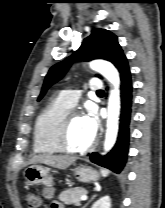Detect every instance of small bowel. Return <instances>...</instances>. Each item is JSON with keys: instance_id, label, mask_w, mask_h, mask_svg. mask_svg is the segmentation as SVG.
I'll list each match as a JSON object with an SVG mask.
<instances>
[{"instance_id": "c3829d8e", "label": "small bowel", "mask_w": 165, "mask_h": 208, "mask_svg": "<svg viewBox=\"0 0 165 208\" xmlns=\"http://www.w3.org/2000/svg\"><path fill=\"white\" fill-rule=\"evenodd\" d=\"M53 189L52 188H45L44 189V196L47 198H51L53 196ZM51 208H64V206L62 204H60L59 202L54 201L51 204Z\"/></svg>"}]
</instances>
